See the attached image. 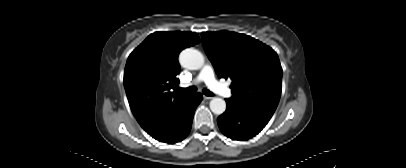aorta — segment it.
<instances>
[{"instance_id": "762f6f07", "label": "aorta", "mask_w": 406, "mask_h": 168, "mask_svg": "<svg viewBox=\"0 0 406 168\" xmlns=\"http://www.w3.org/2000/svg\"><path fill=\"white\" fill-rule=\"evenodd\" d=\"M182 67L190 70H198L204 65V56L194 48L184 49L179 55ZM210 109L214 114L220 115L226 110V102L222 98L214 97L210 101Z\"/></svg>"}]
</instances>
